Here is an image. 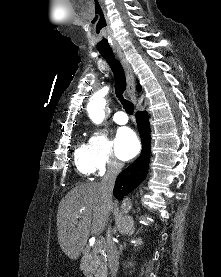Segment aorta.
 Masks as SVG:
<instances>
[{
  "mask_svg": "<svg viewBox=\"0 0 221 277\" xmlns=\"http://www.w3.org/2000/svg\"><path fill=\"white\" fill-rule=\"evenodd\" d=\"M106 105V101L104 99H98L95 101H92L88 105V114L91 120L96 123L100 124L104 117H105V112H104V107ZM132 208V202L129 197L125 198L122 203H121V209L123 212H128Z\"/></svg>",
  "mask_w": 221,
  "mask_h": 277,
  "instance_id": "obj_1",
  "label": "aorta"
}]
</instances>
